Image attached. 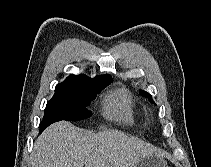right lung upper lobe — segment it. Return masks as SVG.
Here are the masks:
<instances>
[{"mask_svg":"<svg viewBox=\"0 0 211 167\" xmlns=\"http://www.w3.org/2000/svg\"><path fill=\"white\" fill-rule=\"evenodd\" d=\"M105 81H112V77L109 74L96 76L94 79L88 78L86 75H70L67 77L62 83L56 85L55 89H62L67 88L87 82H105Z\"/></svg>","mask_w":211,"mask_h":167,"instance_id":"1","label":"right lung upper lobe"}]
</instances>
